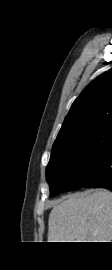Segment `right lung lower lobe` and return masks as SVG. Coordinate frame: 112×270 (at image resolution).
Wrapping results in <instances>:
<instances>
[{
	"mask_svg": "<svg viewBox=\"0 0 112 270\" xmlns=\"http://www.w3.org/2000/svg\"><path fill=\"white\" fill-rule=\"evenodd\" d=\"M82 186L106 188L112 191V143L99 158L89 165Z\"/></svg>",
	"mask_w": 112,
	"mask_h": 270,
	"instance_id": "right-lung-lower-lobe-1",
	"label": "right lung lower lobe"
}]
</instances>
